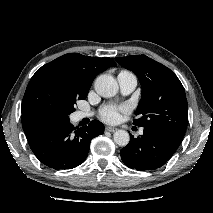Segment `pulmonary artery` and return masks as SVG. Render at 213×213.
I'll list each match as a JSON object with an SVG mask.
<instances>
[{"instance_id":"1","label":"pulmonary artery","mask_w":213,"mask_h":213,"mask_svg":"<svg viewBox=\"0 0 213 213\" xmlns=\"http://www.w3.org/2000/svg\"><path fill=\"white\" fill-rule=\"evenodd\" d=\"M117 80L119 83L120 91L123 95L132 93L137 86L136 76L127 71H121L117 76ZM87 116H89V114L85 112H78L76 114V119L80 120ZM140 133H143V130H140Z\"/></svg>"}]
</instances>
